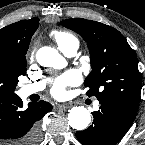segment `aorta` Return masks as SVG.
<instances>
[{"instance_id": "obj_1", "label": "aorta", "mask_w": 145, "mask_h": 145, "mask_svg": "<svg viewBox=\"0 0 145 145\" xmlns=\"http://www.w3.org/2000/svg\"><path fill=\"white\" fill-rule=\"evenodd\" d=\"M37 62L43 67L62 69L67 65L66 60L52 47L45 46L38 49L36 53ZM68 120L70 126L77 130H83L91 122L90 112L83 106H76L69 111Z\"/></svg>"}]
</instances>
